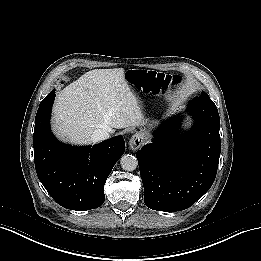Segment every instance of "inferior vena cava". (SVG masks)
I'll return each mask as SVG.
<instances>
[{"label":"inferior vena cava","instance_id":"1","mask_svg":"<svg viewBox=\"0 0 261 261\" xmlns=\"http://www.w3.org/2000/svg\"><path fill=\"white\" fill-rule=\"evenodd\" d=\"M111 132L110 128H105V129H97L93 132L92 134V141L94 143L101 142L103 140H106L109 138V133Z\"/></svg>","mask_w":261,"mask_h":261}]
</instances>
